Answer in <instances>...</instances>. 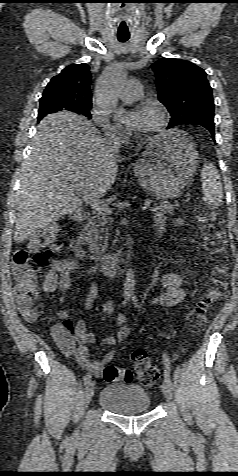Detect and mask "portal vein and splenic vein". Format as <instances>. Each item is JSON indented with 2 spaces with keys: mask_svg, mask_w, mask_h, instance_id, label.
Here are the masks:
<instances>
[{
  "mask_svg": "<svg viewBox=\"0 0 238 476\" xmlns=\"http://www.w3.org/2000/svg\"><path fill=\"white\" fill-rule=\"evenodd\" d=\"M71 186L72 188L75 190V192L77 193V195H79L80 197H82L86 202H88L90 204L91 207H93L95 210L98 211V213L100 214H103V215H110L112 214V210L107 207L106 204H104L100 199L99 197H97L96 195H93L92 193L89 192L88 188L85 186V184L82 182V181H78V180H72L71 181ZM150 205H151V201L150 200H146L144 203H143V206L141 207L142 210H146L148 208H150Z\"/></svg>",
  "mask_w": 238,
  "mask_h": 476,
  "instance_id": "portal-vein-and-splenic-vein-1",
  "label": "portal vein and splenic vein"
}]
</instances>
